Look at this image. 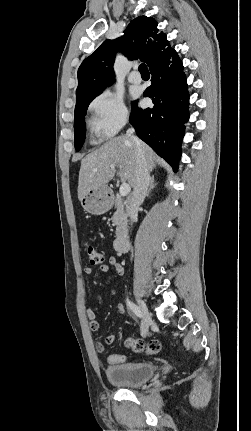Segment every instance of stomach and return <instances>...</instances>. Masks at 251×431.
<instances>
[{
    "mask_svg": "<svg viewBox=\"0 0 251 431\" xmlns=\"http://www.w3.org/2000/svg\"><path fill=\"white\" fill-rule=\"evenodd\" d=\"M80 202L84 211L92 215L104 214L112 207V198L106 186L90 190Z\"/></svg>",
    "mask_w": 251,
    "mask_h": 431,
    "instance_id": "stomach-1",
    "label": "stomach"
}]
</instances>
